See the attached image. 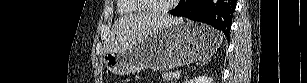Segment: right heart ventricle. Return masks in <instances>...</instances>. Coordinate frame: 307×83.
Instances as JSON below:
<instances>
[{
    "label": "right heart ventricle",
    "mask_w": 307,
    "mask_h": 83,
    "mask_svg": "<svg viewBox=\"0 0 307 83\" xmlns=\"http://www.w3.org/2000/svg\"><path fill=\"white\" fill-rule=\"evenodd\" d=\"M142 11L132 0H120L118 4L119 14H132Z\"/></svg>",
    "instance_id": "e07e8e85"
}]
</instances>
